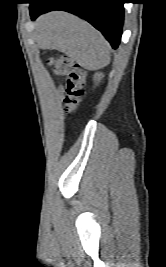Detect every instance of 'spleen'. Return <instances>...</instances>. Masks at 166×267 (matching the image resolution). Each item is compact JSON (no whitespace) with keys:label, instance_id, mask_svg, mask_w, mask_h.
Segmentation results:
<instances>
[{"label":"spleen","instance_id":"spleen-1","mask_svg":"<svg viewBox=\"0 0 166 267\" xmlns=\"http://www.w3.org/2000/svg\"><path fill=\"white\" fill-rule=\"evenodd\" d=\"M37 40L41 47L64 52L88 70L101 69L110 62L104 37L86 21L66 12L43 16Z\"/></svg>","mask_w":166,"mask_h":267}]
</instances>
